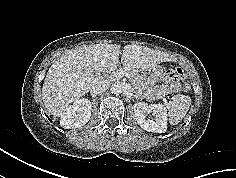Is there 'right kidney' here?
Listing matches in <instances>:
<instances>
[{
    "instance_id": "obj_1",
    "label": "right kidney",
    "mask_w": 236,
    "mask_h": 178,
    "mask_svg": "<svg viewBox=\"0 0 236 178\" xmlns=\"http://www.w3.org/2000/svg\"><path fill=\"white\" fill-rule=\"evenodd\" d=\"M91 109L92 105L88 99L76 100L62 114L60 125L64 129H75L84 126L91 117Z\"/></svg>"
}]
</instances>
